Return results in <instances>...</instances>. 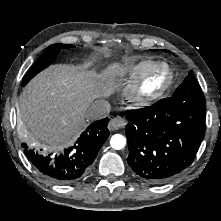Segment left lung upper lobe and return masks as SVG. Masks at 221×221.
<instances>
[{
	"instance_id": "5c2ea615",
	"label": "left lung upper lobe",
	"mask_w": 221,
	"mask_h": 221,
	"mask_svg": "<svg viewBox=\"0 0 221 221\" xmlns=\"http://www.w3.org/2000/svg\"><path fill=\"white\" fill-rule=\"evenodd\" d=\"M176 103L206 105V101L200 86L192 71L189 72L183 83L170 97Z\"/></svg>"
}]
</instances>
